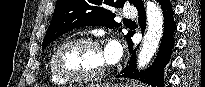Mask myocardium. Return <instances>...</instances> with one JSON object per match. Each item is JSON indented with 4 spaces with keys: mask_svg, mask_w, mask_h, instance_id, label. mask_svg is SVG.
I'll return each instance as SVG.
<instances>
[{
    "mask_svg": "<svg viewBox=\"0 0 205 87\" xmlns=\"http://www.w3.org/2000/svg\"><path fill=\"white\" fill-rule=\"evenodd\" d=\"M89 44L92 45L98 49H100L103 52L101 44L92 37L82 36V37H75L68 39L64 42H62L53 52L52 58H51V64L54 72L57 76H59L61 79L67 81V82H78V83H91L99 80L106 71V61L102 65L101 69L91 75H76L70 72H67L63 70L60 66L59 57L61 52L68 46L73 44ZM104 53V52H103Z\"/></svg>",
    "mask_w": 205,
    "mask_h": 87,
    "instance_id": "myocardium-1",
    "label": "myocardium"
}]
</instances>
